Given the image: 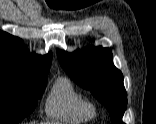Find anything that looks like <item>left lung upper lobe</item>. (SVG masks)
I'll list each match as a JSON object with an SVG mask.
<instances>
[{
    "instance_id": "1",
    "label": "left lung upper lobe",
    "mask_w": 156,
    "mask_h": 124,
    "mask_svg": "<svg viewBox=\"0 0 156 124\" xmlns=\"http://www.w3.org/2000/svg\"><path fill=\"white\" fill-rule=\"evenodd\" d=\"M61 67L81 87L105 105L112 124H124L122 117L127 107V93L122 73L112 62L109 48H85L68 53L57 49Z\"/></svg>"
}]
</instances>
